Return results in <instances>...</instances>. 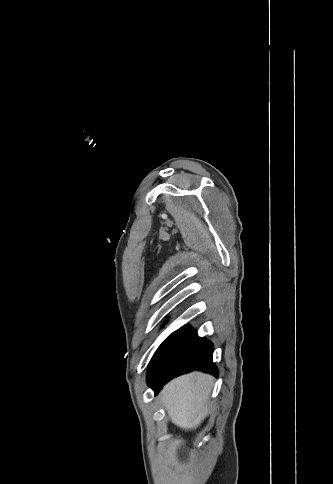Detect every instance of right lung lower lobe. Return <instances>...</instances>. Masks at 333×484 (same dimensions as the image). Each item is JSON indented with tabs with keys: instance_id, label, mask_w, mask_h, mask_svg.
<instances>
[{
	"instance_id": "right-lung-lower-lobe-1",
	"label": "right lung lower lobe",
	"mask_w": 333,
	"mask_h": 484,
	"mask_svg": "<svg viewBox=\"0 0 333 484\" xmlns=\"http://www.w3.org/2000/svg\"><path fill=\"white\" fill-rule=\"evenodd\" d=\"M213 344L197 336L189 326L172 333L157 349L148 371V385L157 394L172 378L194 370H202L217 376L212 362Z\"/></svg>"
}]
</instances>
